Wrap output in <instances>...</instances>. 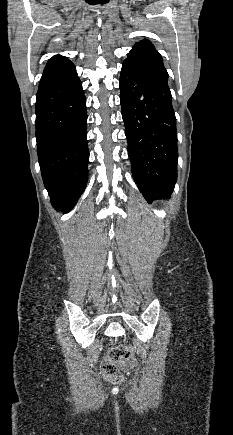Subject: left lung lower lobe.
Here are the masks:
<instances>
[{
	"label": "left lung lower lobe",
	"instance_id": "obj_1",
	"mask_svg": "<svg viewBox=\"0 0 233 435\" xmlns=\"http://www.w3.org/2000/svg\"><path fill=\"white\" fill-rule=\"evenodd\" d=\"M120 102L132 175L144 198L170 195L177 180V130L168 84L122 65Z\"/></svg>",
	"mask_w": 233,
	"mask_h": 435
}]
</instances>
